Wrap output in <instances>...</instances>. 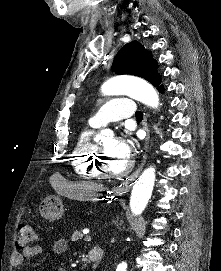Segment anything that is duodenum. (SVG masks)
I'll use <instances>...</instances> for the list:
<instances>
[{
    "label": "duodenum",
    "instance_id": "1",
    "mask_svg": "<svg viewBox=\"0 0 221 271\" xmlns=\"http://www.w3.org/2000/svg\"><path fill=\"white\" fill-rule=\"evenodd\" d=\"M104 256V252L101 248L95 247L89 253V260L92 262L94 267H97Z\"/></svg>",
    "mask_w": 221,
    "mask_h": 271
}]
</instances>
